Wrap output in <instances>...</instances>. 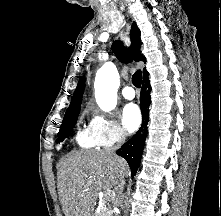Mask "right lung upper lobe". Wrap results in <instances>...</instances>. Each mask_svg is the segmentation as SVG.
Segmentation results:
<instances>
[{"instance_id": "cb5924a9", "label": "right lung upper lobe", "mask_w": 221, "mask_h": 216, "mask_svg": "<svg viewBox=\"0 0 221 216\" xmlns=\"http://www.w3.org/2000/svg\"><path fill=\"white\" fill-rule=\"evenodd\" d=\"M130 38H131V48L129 51L123 47L121 42H114L112 49L117 56V58L121 61L124 62H129L132 59L135 61H143L145 62V57L141 54L140 52V46H141V41H140V30L137 27L136 23H133L131 32H130ZM148 72L146 69L143 70V77H147ZM85 88V80L84 77H81L78 85L74 91V94L71 99L70 106L68 107L65 116L71 115L76 112H80V106L82 103V95L84 92Z\"/></svg>"}]
</instances>
